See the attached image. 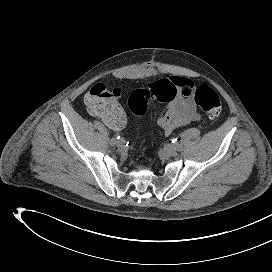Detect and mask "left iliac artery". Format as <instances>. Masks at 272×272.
Wrapping results in <instances>:
<instances>
[{
  "mask_svg": "<svg viewBox=\"0 0 272 272\" xmlns=\"http://www.w3.org/2000/svg\"><path fill=\"white\" fill-rule=\"evenodd\" d=\"M172 144H173V148L175 150H177V151H181L182 150V146L178 142H176V139L172 140Z\"/></svg>",
  "mask_w": 272,
  "mask_h": 272,
  "instance_id": "44dca946",
  "label": "left iliac artery"
}]
</instances>
